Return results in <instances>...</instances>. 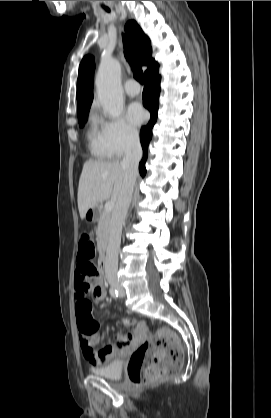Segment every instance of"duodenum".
<instances>
[{"label": "duodenum", "instance_id": "duodenum-1", "mask_svg": "<svg viewBox=\"0 0 271 418\" xmlns=\"http://www.w3.org/2000/svg\"><path fill=\"white\" fill-rule=\"evenodd\" d=\"M107 266V257L105 251H102L100 259H99V267L102 272H105Z\"/></svg>", "mask_w": 271, "mask_h": 418}]
</instances>
